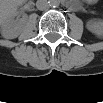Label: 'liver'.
<instances>
[{"mask_svg": "<svg viewBox=\"0 0 103 103\" xmlns=\"http://www.w3.org/2000/svg\"><path fill=\"white\" fill-rule=\"evenodd\" d=\"M13 5H17V6H18V5H19V2H15V3H13Z\"/></svg>", "mask_w": 103, "mask_h": 103, "instance_id": "6515ba94", "label": "liver"}]
</instances>
